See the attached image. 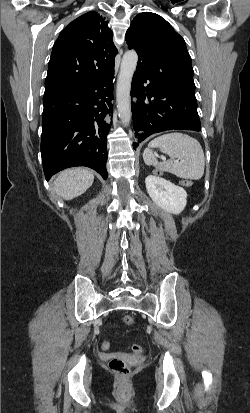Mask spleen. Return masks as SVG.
<instances>
[{
  "instance_id": "obj_1",
  "label": "spleen",
  "mask_w": 250,
  "mask_h": 413,
  "mask_svg": "<svg viewBox=\"0 0 250 413\" xmlns=\"http://www.w3.org/2000/svg\"><path fill=\"white\" fill-rule=\"evenodd\" d=\"M152 148H160L171 160L158 162ZM143 159L147 165L183 179L199 180L204 174L205 158L200 143L180 132L164 134L152 140L144 150Z\"/></svg>"
}]
</instances>
